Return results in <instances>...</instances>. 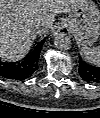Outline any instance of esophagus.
<instances>
[{
    "label": "esophagus",
    "mask_w": 100,
    "mask_h": 118,
    "mask_svg": "<svg viewBox=\"0 0 100 118\" xmlns=\"http://www.w3.org/2000/svg\"><path fill=\"white\" fill-rule=\"evenodd\" d=\"M69 33H70V27H69V22L67 20H62L58 22L52 28V34L54 36L60 35V34H69Z\"/></svg>",
    "instance_id": "34e87169"
}]
</instances>
